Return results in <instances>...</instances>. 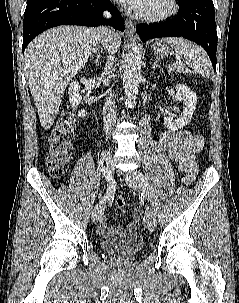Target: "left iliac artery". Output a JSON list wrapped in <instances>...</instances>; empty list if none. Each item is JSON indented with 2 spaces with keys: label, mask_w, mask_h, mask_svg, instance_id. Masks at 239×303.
Listing matches in <instances>:
<instances>
[{
  "label": "left iliac artery",
  "mask_w": 239,
  "mask_h": 303,
  "mask_svg": "<svg viewBox=\"0 0 239 303\" xmlns=\"http://www.w3.org/2000/svg\"><path fill=\"white\" fill-rule=\"evenodd\" d=\"M137 177L139 179L140 187L142 188L141 195L146 197L149 193V183L147 178L142 173H137Z\"/></svg>",
  "instance_id": "obj_1"
}]
</instances>
